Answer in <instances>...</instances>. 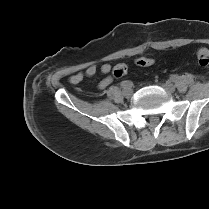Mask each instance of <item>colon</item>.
I'll use <instances>...</instances> for the list:
<instances>
[{
  "mask_svg": "<svg viewBox=\"0 0 209 209\" xmlns=\"http://www.w3.org/2000/svg\"><path fill=\"white\" fill-rule=\"evenodd\" d=\"M197 61L203 68L209 69V50L201 48L197 51ZM137 64L141 67H149L154 64V60L150 58H141L137 61ZM127 71V68L123 64L116 65L112 71L114 77H122Z\"/></svg>",
  "mask_w": 209,
  "mask_h": 209,
  "instance_id": "colon-1",
  "label": "colon"
}]
</instances>
